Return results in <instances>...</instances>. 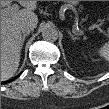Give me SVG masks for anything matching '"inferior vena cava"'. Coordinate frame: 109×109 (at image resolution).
Segmentation results:
<instances>
[{
  "label": "inferior vena cava",
  "mask_w": 109,
  "mask_h": 109,
  "mask_svg": "<svg viewBox=\"0 0 109 109\" xmlns=\"http://www.w3.org/2000/svg\"><path fill=\"white\" fill-rule=\"evenodd\" d=\"M34 28V25L30 22H22L20 25L21 31L26 34L30 33Z\"/></svg>",
  "instance_id": "602c4592"
}]
</instances>
